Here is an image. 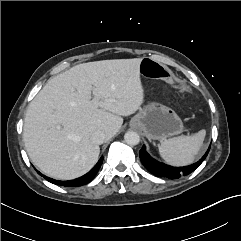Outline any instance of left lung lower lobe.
Wrapping results in <instances>:
<instances>
[{
  "mask_svg": "<svg viewBox=\"0 0 241 241\" xmlns=\"http://www.w3.org/2000/svg\"><path fill=\"white\" fill-rule=\"evenodd\" d=\"M209 150H210V147L205 153V155L198 162L189 166H184V167H173V166H169L164 163L158 162L146 152L145 146H143L139 151V156L144 167L155 176L167 177L169 179H178L181 176H186L190 174L198 166H200V164L205 160Z\"/></svg>",
  "mask_w": 241,
  "mask_h": 241,
  "instance_id": "1",
  "label": "left lung lower lobe"
}]
</instances>
